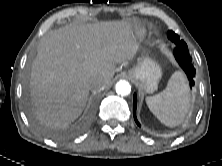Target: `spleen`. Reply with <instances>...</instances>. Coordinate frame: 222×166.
Returning a JSON list of instances; mask_svg holds the SVG:
<instances>
[{"label":"spleen","instance_id":"obj_1","mask_svg":"<svg viewBox=\"0 0 222 166\" xmlns=\"http://www.w3.org/2000/svg\"><path fill=\"white\" fill-rule=\"evenodd\" d=\"M150 111L166 126L180 125L189 109V87L184 74L176 71L170 77L166 88L146 98Z\"/></svg>","mask_w":222,"mask_h":166}]
</instances>
